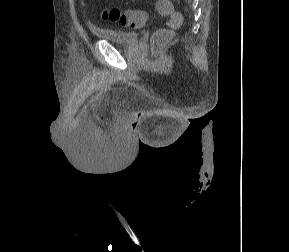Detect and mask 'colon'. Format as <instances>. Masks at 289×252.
Wrapping results in <instances>:
<instances>
[{
  "mask_svg": "<svg viewBox=\"0 0 289 252\" xmlns=\"http://www.w3.org/2000/svg\"><path fill=\"white\" fill-rule=\"evenodd\" d=\"M157 11L169 17L168 27L172 29L178 28L182 23L181 16L174 10L172 3L169 0H159L156 5ZM103 20L119 23L124 27H139L144 24L147 19L145 11H126L121 12L118 8H112L103 11ZM172 37V31L167 28L157 29L151 38L152 49H158L167 43Z\"/></svg>",
  "mask_w": 289,
  "mask_h": 252,
  "instance_id": "5ec220e1",
  "label": "colon"
}]
</instances>
